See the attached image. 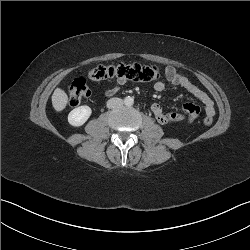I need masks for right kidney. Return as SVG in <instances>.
I'll use <instances>...</instances> for the list:
<instances>
[{
	"mask_svg": "<svg viewBox=\"0 0 250 250\" xmlns=\"http://www.w3.org/2000/svg\"><path fill=\"white\" fill-rule=\"evenodd\" d=\"M92 110L89 106H80L73 109L68 115L70 125L79 127L82 126L91 116Z\"/></svg>",
	"mask_w": 250,
	"mask_h": 250,
	"instance_id": "right-kidney-1",
	"label": "right kidney"
}]
</instances>
